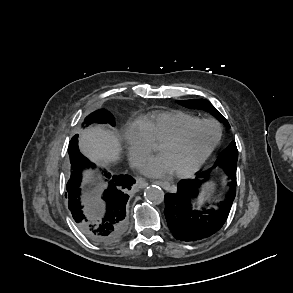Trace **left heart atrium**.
Returning <instances> with one entry per match:
<instances>
[{"label":"left heart atrium","instance_id":"39dd6f15","mask_svg":"<svg viewBox=\"0 0 293 293\" xmlns=\"http://www.w3.org/2000/svg\"><path fill=\"white\" fill-rule=\"evenodd\" d=\"M141 170L144 174L153 177H164L173 172L169 162L162 155L145 161Z\"/></svg>","mask_w":293,"mask_h":293}]
</instances>
